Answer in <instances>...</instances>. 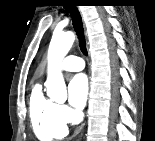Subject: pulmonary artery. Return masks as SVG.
Segmentation results:
<instances>
[{
    "instance_id": "1",
    "label": "pulmonary artery",
    "mask_w": 155,
    "mask_h": 141,
    "mask_svg": "<svg viewBox=\"0 0 155 141\" xmlns=\"http://www.w3.org/2000/svg\"><path fill=\"white\" fill-rule=\"evenodd\" d=\"M85 64L81 57L69 55L61 63V67L67 71H80Z\"/></svg>"
}]
</instances>
